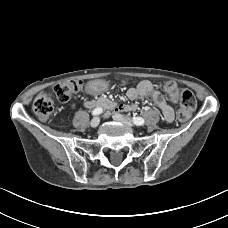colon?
Here are the masks:
<instances>
[{
    "label": "colon",
    "instance_id": "colon-1",
    "mask_svg": "<svg viewBox=\"0 0 228 228\" xmlns=\"http://www.w3.org/2000/svg\"><path fill=\"white\" fill-rule=\"evenodd\" d=\"M82 85L81 80L68 79L55 85L53 91L60 102H67L81 90ZM163 88L179 104V119L188 120L197 105L194 94L188 89H178L173 81H165ZM32 109L39 120H48L53 113L52 97L47 93L39 94L33 102Z\"/></svg>",
    "mask_w": 228,
    "mask_h": 228
}]
</instances>
